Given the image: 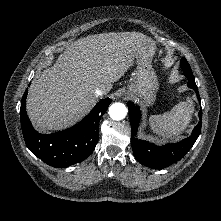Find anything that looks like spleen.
<instances>
[{
  "label": "spleen",
  "instance_id": "obj_1",
  "mask_svg": "<svg viewBox=\"0 0 221 221\" xmlns=\"http://www.w3.org/2000/svg\"><path fill=\"white\" fill-rule=\"evenodd\" d=\"M194 105L190 99L180 102L169 112L151 115L149 123L154 133L163 138H172L182 133L191 121Z\"/></svg>",
  "mask_w": 221,
  "mask_h": 221
}]
</instances>
